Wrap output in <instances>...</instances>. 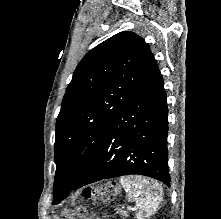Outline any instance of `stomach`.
I'll list each match as a JSON object with an SVG mask.
<instances>
[{"label": "stomach", "mask_w": 221, "mask_h": 219, "mask_svg": "<svg viewBox=\"0 0 221 219\" xmlns=\"http://www.w3.org/2000/svg\"><path fill=\"white\" fill-rule=\"evenodd\" d=\"M115 190H116V191H119V188H118V187H116V188H115Z\"/></svg>", "instance_id": "1"}]
</instances>
